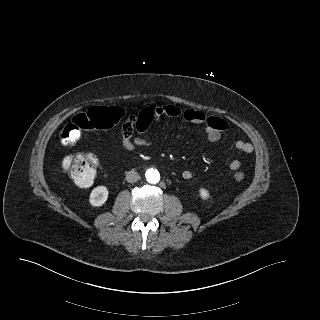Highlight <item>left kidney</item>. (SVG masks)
Masks as SVG:
<instances>
[{"label": "left kidney", "mask_w": 320, "mask_h": 320, "mask_svg": "<svg viewBox=\"0 0 320 320\" xmlns=\"http://www.w3.org/2000/svg\"><path fill=\"white\" fill-rule=\"evenodd\" d=\"M199 192H200L199 194L203 200H207L209 198V192L206 189L201 188Z\"/></svg>", "instance_id": "obj_1"}]
</instances>
